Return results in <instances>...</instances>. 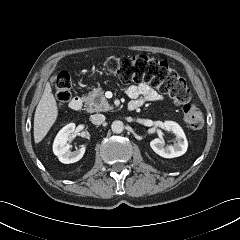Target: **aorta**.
I'll use <instances>...</instances> for the list:
<instances>
[{
	"label": "aorta",
	"mask_w": 240,
	"mask_h": 240,
	"mask_svg": "<svg viewBox=\"0 0 240 240\" xmlns=\"http://www.w3.org/2000/svg\"><path fill=\"white\" fill-rule=\"evenodd\" d=\"M111 129L114 133L119 134V133L123 132L124 124L120 120H115L111 125Z\"/></svg>",
	"instance_id": "1"
}]
</instances>
